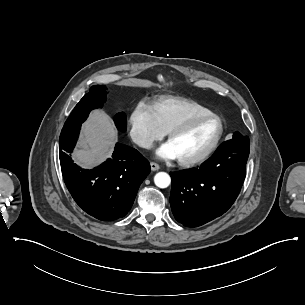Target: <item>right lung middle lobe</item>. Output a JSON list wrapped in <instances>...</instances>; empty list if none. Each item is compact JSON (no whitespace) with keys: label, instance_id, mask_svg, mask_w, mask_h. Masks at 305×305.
Instances as JSON below:
<instances>
[{"label":"right lung middle lobe","instance_id":"right-lung-middle-lobe-1","mask_svg":"<svg viewBox=\"0 0 305 305\" xmlns=\"http://www.w3.org/2000/svg\"><path fill=\"white\" fill-rule=\"evenodd\" d=\"M106 87L95 85L90 88V91L83 96L80 102L76 105L71 115L64 124V127L81 124L86 120L91 110L101 108L106 102ZM115 124L121 131L126 130V115L118 113L115 116Z\"/></svg>","mask_w":305,"mask_h":305}]
</instances>
